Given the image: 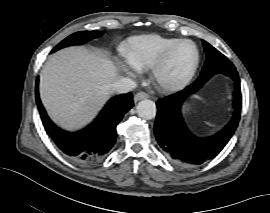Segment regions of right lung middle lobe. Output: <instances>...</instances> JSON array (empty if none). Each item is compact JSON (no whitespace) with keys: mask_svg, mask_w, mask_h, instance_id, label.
I'll list each match as a JSON object with an SVG mask.
<instances>
[{"mask_svg":"<svg viewBox=\"0 0 270 213\" xmlns=\"http://www.w3.org/2000/svg\"><path fill=\"white\" fill-rule=\"evenodd\" d=\"M103 32L101 31H81L76 32L66 39H64L62 42H60L52 51L59 50L63 47L70 46V45H77L82 44L90 39L97 38L101 36Z\"/></svg>","mask_w":270,"mask_h":213,"instance_id":"dd1d6c3e","label":"right lung middle lobe"}]
</instances>
